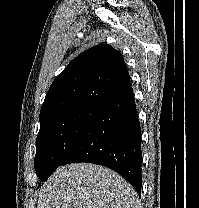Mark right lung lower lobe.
Segmentation results:
<instances>
[{"mask_svg": "<svg viewBox=\"0 0 199 208\" xmlns=\"http://www.w3.org/2000/svg\"><path fill=\"white\" fill-rule=\"evenodd\" d=\"M76 162L95 163L116 171L141 196V127L132 88L100 106L61 165Z\"/></svg>", "mask_w": 199, "mask_h": 208, "instance_id": "1", "label": "right lung lower lobe"}]
</instances>
